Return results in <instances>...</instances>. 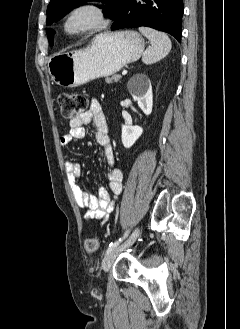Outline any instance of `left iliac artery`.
<instances>
[{
  "mask_svg": "<svg viewBox=\"0 0 240 329\" xmlns=\"http://www.w3.org/2000/svg\"><path fill=\"white\" fill-rule=\"evenodd\" d=\"M129 234V230H127L124 235L119 238L117 241H115L114 243H111L106 251V254L110 253L111 251H113L114 249H116L119 244L128 236Z\"/></svg>",
  "mask_w": 240,
  "mask_h": 329,
  "instance_id": "left-iliac-artery-1",
  "label": "left iliac artery"
}]
</instances>
